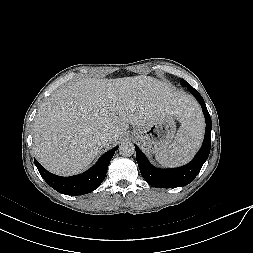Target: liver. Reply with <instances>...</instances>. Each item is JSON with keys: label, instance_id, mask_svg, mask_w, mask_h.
<instances>
[{"label": "liver", "instance_id": "1", "mask_svg": "<svg viewBox=\"0 0 253 253\" xmlns=\"http://www.w3.org/2000/svg\"><path fill=\"white\" fill-rule=\"evenodd\" d=\"M190 104L150 76L81 79L54 91L38 110L34 154L54 174H77L103 147L115 145L129 124L142 126L166 115L182 121ZM104 132L112 136L106 145L99 139Z\"/></svg>", "mask_w": 253, "mask_h": 253}]
</instances>
